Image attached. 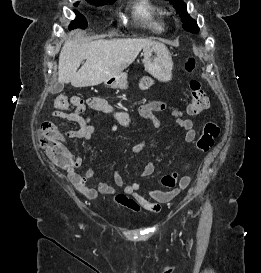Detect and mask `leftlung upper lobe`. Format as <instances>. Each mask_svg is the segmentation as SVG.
<instances>
[{"mask_svg":"<svg viewBox=\"0 0 261 273\" xmlns=\"http://www.w3.org/2000/svg\"><path fill=\"white\" fill-rule=\"evenodd\" d=\"M172 3L177 12L180 13V17L183 24V28L186 31L192 32V33H198L199 28L197 26V23L194 19H192L188 14H187V6L182 0H167Z\"/></svg>","mask_w":261,"mask_h":273,"instance_id":"5c2ea615","label":"left lung upper lobe"}]
</instances>
